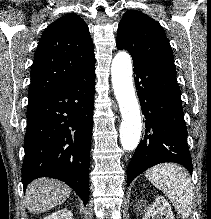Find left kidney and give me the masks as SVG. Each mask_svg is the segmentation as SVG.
Returning <instances> with one entry per match:
<instances>
[{"mask_svg":"<svg viewBox=\"0 0 211 219\" xmlns=\"http://www.w3.org/2000/svg\"><path fill=\"white\" fill-rule=\"evenodd\" d=\"M143 219H175L171 206L163 196H158Z\"/></svg>","mask_w":211,"mask_h":219,"instance_id":"1","label":"left kidney"}]
</instances>
